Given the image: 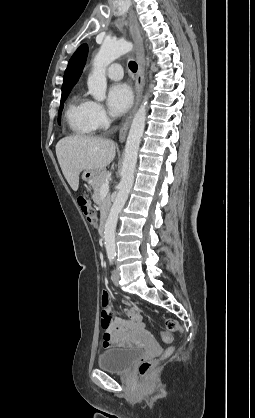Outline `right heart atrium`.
Instances as JSON below:
<instances>
[{"label": "right heart atrium", "mask_w": 255, "mask_h": 418, "mask_svg": "<svg viewBox=\"0 0 255 418\" xmlns=\"http://www.w3.org/2000/svg\"><path fill=\"white\" fill-rule=\"evenodd\" d=\"M91 115L95 128H104L108 124V116L102 104L92 102Z\"/></svg>", "instance_id": "obj_1"}]
</instances>
